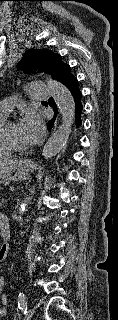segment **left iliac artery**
<instances>
[{"label": "left iliac artery", "mask_w": 118, "mask_h": 320, "mask_svg": "<svg viewBox=\"0 0 118 320\" xmlns=\"http://www.w3.org/2000/svg\"><path fill=\"white\" fill-rule=\"evenodd\" d=\"M18 308L22 311L27 310V300L23 292H20L18 295Z\"/></svg>", "instance_id": "1"}]
</instances>
